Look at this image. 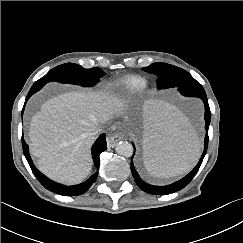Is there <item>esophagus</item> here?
Segmentation results:
<instances>
[{"label":"esophagus","mask_w":243,"mask_h":243,"mask_svg":"<svg viewBox=\"0 0 243 243\" xmlns=\"http://www.w3.org/2000/svg\"><path fill=\"white\" fill-rule=\"evenodd\" d=\"M124 139V135L121 133H115L110 136L109 143L111 147H114L119 141Z\"/></svg>","instance_id":"1"}]
</instances>
